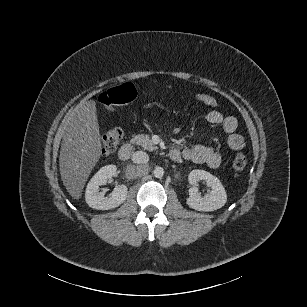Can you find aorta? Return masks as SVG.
Instances as JSON below:
<instances>
[{"instance_id": "obj_1", "label": "aorta", "mask_w": 307, "mask_h": 307, "mask_svg": "<svg viewBox=\"0 0 307 307\" xmlns=\"http://www.w3.org/2000/svg\"><path fill=\"white\" fill-rule=\"evenodd\" d=\"M153 174L156 178H162L164 176V169L160 166H156Z\"/></svg>"}]
</instances>
